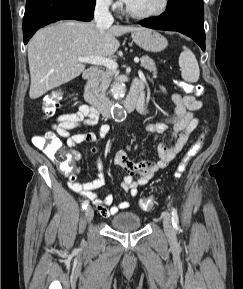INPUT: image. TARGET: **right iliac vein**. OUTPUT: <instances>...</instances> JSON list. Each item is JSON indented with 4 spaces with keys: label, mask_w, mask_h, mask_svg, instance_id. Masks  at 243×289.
<instances>
[{
    "label": "right iliac vein",
    "mask_w": 243,
    "mask_h": 289,
    "mask_svg": "<svg viewBox=\"0 0 243 289\" xmlns=\"http://www.w3.org/2000/svg\"><path fill=\"white\" fill-rule=\"evenodd\" d=\"M93 217H94V211H93L92 207L86 208V210H85V218H86V220L88 222H91Z\"/></svg>",
    "instance_id": "1"
}]
</instances>
